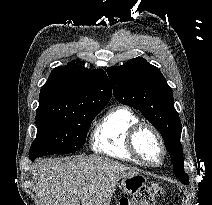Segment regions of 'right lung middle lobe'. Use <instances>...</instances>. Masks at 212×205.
<instances>
[{
  "mask_svg": "<svg viewBox=\"0 0 212 205\" xmlns=\"http://www.w3.org/2000/svg\"><path fill=\"white\" fill-rule=\"evenodd\" d=\"M104 106L81 105L59 112H36L37 137L30 148L31 160L79 150L92 120Z\"/></svg>",
  "mask_w": 212,
  "mask_h": 205,
  "instance_id": "right-lung-middle-lobe-1",
  "label": "right lung middle lobe"
}]
</instances>
